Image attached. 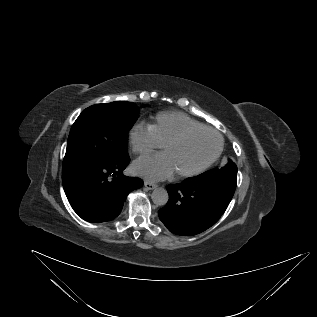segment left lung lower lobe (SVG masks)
<instances>
[{
    "instance_id": "obj_1",
    "label": "left lung lower lobe",
    "mask_w": 317,
    "mask_h": 317,
    "mask_svg": "<svg viewBox=\"0 0 317 317\" xmlns=\"http://www.w3.org/2000/svg\"><path fill=\"white\" fill-rule=\"evenodd\" d=\"M235 189V181L202 175L171 184L168 203L159 210V218L174 234H199L220 219Z\"/></svg>"
}]
</instances>
